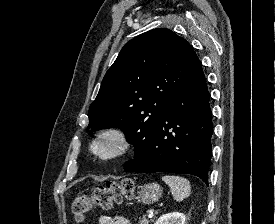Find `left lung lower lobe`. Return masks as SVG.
I'll return each instance as SVG.
<instances>
[{"mask_svg": "<svg viewBox=\"0 0 275 224\" xmlns=\"http://www.w3.org/2000/svg\"><path fill=\"white\" fill-rule=\"evenodd\" d=\"M212 133L209 91L200 67L191 74L124 170L193 174L208 184Z\"/></svg>", "mask_w": 275, "mask_h": 224, "instance_id": "1", "label": "left lung lower lobe"}]
</instances>
